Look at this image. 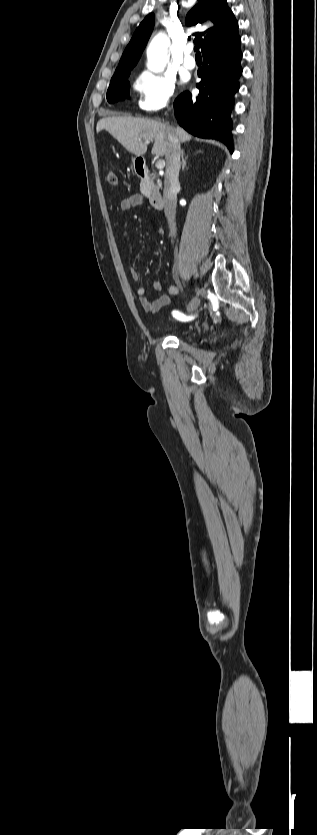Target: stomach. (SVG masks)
Instances as JSON below:
<instances>
[{"label":"stomach","mask_w":317,"mask_h":835,"mask_svg":"<svg viewBox=\"0 0 317 835\" xmlns=\"http://www.w3.org/2000/svg\"><path fill=\"white\" fill-rule=\"evenodd\" d=\"M136 159H137V157L133 158V163H135V162H136Z\"/></svg>","instance_id":"obj_1"}]
</instances>
